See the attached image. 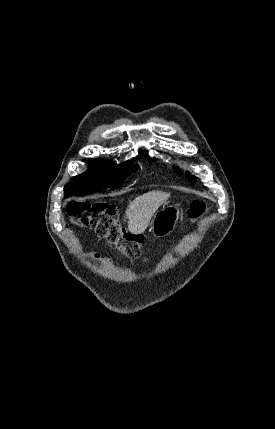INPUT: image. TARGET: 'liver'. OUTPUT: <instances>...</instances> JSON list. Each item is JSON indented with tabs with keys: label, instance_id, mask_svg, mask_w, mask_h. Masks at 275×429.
<instances>
[{
	"label": "liver",
	"instance_id": "6515ba94",
	"mask_svg": "<svg viewBox=\"0 0 275 429\" xmlns=\"http://www.w3.org/2000/svg\"><path fill=\"white\" fill-rule=\"evenodd\" d=\"M169 198L170 194L163 191H150L135 198L126 210L130 233H143L156 210Z\"/></svg>",
	"mask_w": 275,
	"mask_h": 429
}]
</instances>
